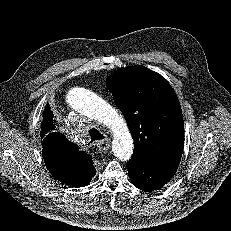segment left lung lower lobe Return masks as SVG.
<instances>
[{
    "label": "left lung lower lobe",
    "mask_w": 231,
    "mask_h": 231,
    "mask_svg": "<svg viewBox=\"0 0 231 231\" xmlns=\"http://www.w3.org/2000/svg\"><path fill=\"white\" fill-rule=\"evenodd\" d=\"M132 183L144 191L161 189L177 171L179 164H160L144 159L126 165Z\"/></svg>",
    "instance_id": "0a47b994"
}]
</instances>
